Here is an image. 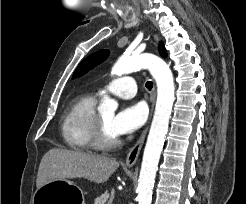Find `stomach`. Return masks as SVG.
Masks as SVG:
<instances>
[{
  "mask_svg": "<svg viewBox=\"0 0 246 204\" xmlns=\"http://www.w3.org/2000/svg\"><path fill=\"white\" fill-rule=\"evenodd\" d=\"M32 204H84V195L67 179L53 180L36 190Z\"/></svg>",
  "mask_w": 246,
  "mask_h": 204,
  "instance_id": "stomach-1",
  "label": "stomach"
}]
</instances>
